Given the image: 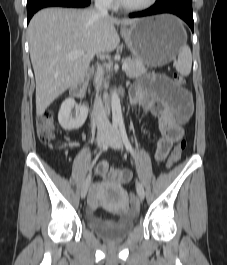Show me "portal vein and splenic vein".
I'll use <instances>...</instances> for the list:
<instances>
[{
    "label": "portal vein and splenic vein",
    "instance_id": "portal-vein-and-splenic-vein-1",
    "mask_svg": "<svg viewBox=\"0 0 227 265\" xmlns=\"http://www.w3.org/2000/svg\"><path fill=\"white\" fill-rule=\"evenodd\" d=\"M84 54H85V52L83 50H79V51H73V52L69 53L66 57L68 59L75 60V59H78L79 57L83 56ZM122 69L123 70H127L128 69V64L127 63H123Z\"/></svg>",
    "mask_w": 227,
    "mask_h": 265
}]
</instances>
